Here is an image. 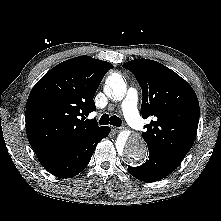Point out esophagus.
I'll return each instance as SVG.
<instances>
[{
  "mask_svg": "<svg viewBox=\"0 0 221 221\" xmlns=\"http://www.w3.org/2000/svg\"><path fill=\"white\" fill-rule=\"evenodd\" d=\"M120 129H121V128L113 127V128H112V132H113V133H118V132L120 131Z\"/></svg>",
  "mask_w": 221,
  "mask_h": 221,
  "instance_id": "1",
  "label": "esophagus"
}]
</instances>
